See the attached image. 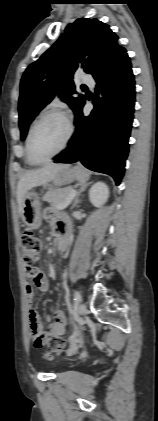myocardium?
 <instances>
[{"label":"myocardium","mask_w":158,"mask_h":421,"mask_svg":"<svg viewBox=\"0 0 158 421\" xmlns=\"http://www.w3.org/2000/svg\"><path fill=\"white\" fill-rule=\"evenodd\" d=\"M51 115H58L60 117H62L67 124V135L66 138L63 142V144L61 145V147L54 153L52 154L50 157L43 159V160H38L34 157L32 150H31V140H32V136L34 133L35 128L37 127V125L46 117L51 116ZM74 133V126L72 123L71 118L69 117V115L61 110V109H57V108H52V109H48L46 111H44L31 125L28 135H27V140H26V150H27V154L29 159L35 164V165H41V164H45L48 163L49 161H51L54 157H56L57 155H59L61 152H63L68 144L70 143L72 136Z\"/></svg>","instance_id":"f54148a6"}]
</instances>
